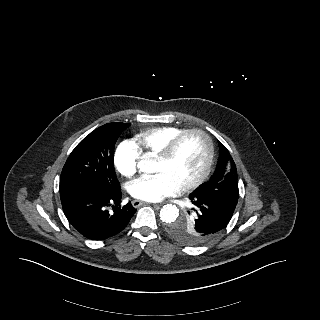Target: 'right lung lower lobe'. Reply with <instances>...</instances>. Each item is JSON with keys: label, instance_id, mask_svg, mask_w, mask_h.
Here are the masks:
<instances>
[{"label": "right lung lower lobe", "instance_id": "98d812e1", "mask_svg": "<svg viewBox=\"0 0 320 320\" xmlns=\"http://www.w3.org/2000/svg\"><path fill=\"white\" fill-rule=\"evenodd\" d=\"M60 198L70 224L91 240H105L118 234L136 212L130 201L120 205V186L108 192H61ZM113 203L112 210H108L107 207Z\"/></svg>", "mask_w": 320, "mask_h": 320}]
</instances>
